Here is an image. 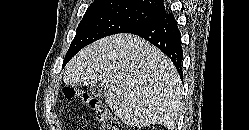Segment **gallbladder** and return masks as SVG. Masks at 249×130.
<instances>
[{
  "mask_svg": "<svg viewBox=\"0 0 249 130\" xmlns=\"http://www.w3.org/2000/svg\"><path fill=\"white\" fill-rule=\"evenodd\" d=\"M88 90L91 95L99 98H103L106 94L104 86L100 83L90 84Z\"/></svg>",
  "mask_w": 249,
  "mask_h": 130,
  "instance_id": "1",
  "label": "gallbladder"
}]
</instances>
